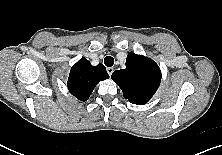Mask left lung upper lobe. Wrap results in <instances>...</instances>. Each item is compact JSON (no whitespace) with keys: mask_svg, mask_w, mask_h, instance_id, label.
Instances as JSON below:
<instances>
[{"mask_svg":"<svg viewBox=\"0 0 222 155\" xmlns=\"http://www.w3.org/2000/svg\"><path fill=\"white\" fill-rule=\"evenodd\" d=\"M112 79L119 85L129 102L143 105L158 89L161 71L153 60L129 53L126 68L114 71Z\"/></svg>","mask_w":222,"mask_h":155,"instance_id":"5c2ea615","label":"left lung upper lobe"}]
</instances>
